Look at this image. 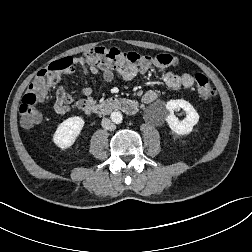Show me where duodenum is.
Masks as SVG:
<instances>
[{"mask_svg":"<svg viewBox=\"0 0 252 252\" xmlns=\"http://www.w3.org/2000/svg\"><path fill=\"white\" fill-rule=\"evenodd\" d=\"M138 103L131 99L121 98H110L101 103L92 104L85 108L86 112L108 114L116 110L125 112L126 114L132 115L137 112Z\"/></svg>","mask_w":252,"mask_h":252,"instance_id":"410a0bca","label":"duodenum"}]
</instances>
